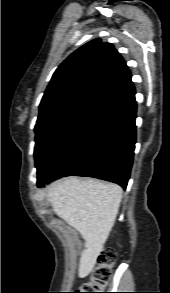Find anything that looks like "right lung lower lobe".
Wrapping results in <instances>:
<instances>
[{"label":"right lung lower lobe","instance_id":"right-lung-lower-lobe-1","mask_svg":"<svg viewBox=\"0 0 170 293\" xmlns=\"http://www.w3.org/2000/svg\"><path fill=\"white\" fill-rule=\"evenodd\" d=\"M135 93L110 106L38 187L64 176H87L126 188L136 143Z\"/></svg>","mask_w":170,"mask_h":293}]
</instances>
